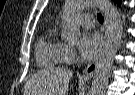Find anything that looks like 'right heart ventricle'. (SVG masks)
<instances>
[{
  "label": "right heart ventricle",
  "instance_id": "1",
  "mask_svg": "<svg viewBox=\"0 0 135 95\" xmlns=\"http://www.w3.org/2000/svg\"><path fill=\"white\" fill-rule=\"evenodd\" d=\"M65 45L59 40L55 26H49L36 44L37 63L43 67L59 66L63 60Z\"/></svg>",
  "mask_w": 135,
  "mask_h": 95
}]
</instances>
